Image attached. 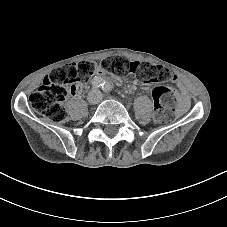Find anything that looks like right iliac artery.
I'll use <instances>...</instances> for the list:
<instances>
[{
    "label": "right iliac artery",
    "instance_id": "82829eb1",
    "mask_svg": "<svg viewBox=\"0 0 227 227\" xmlns=\"http://www.w3.org/2000/svg\"><path fill=\"white\" fill-rule=\"evenodd\" d=\"M103 85H104V82L101 78L94 79V81L92 82L93 88H100V87H103Z\"/></svg>",
    "mask_w": 227,
    "mask_h": 227
}]
</instances>
